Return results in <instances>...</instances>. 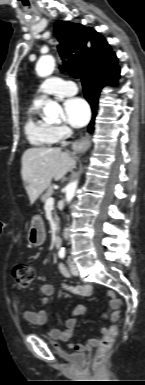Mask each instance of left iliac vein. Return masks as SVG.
Listing matches in <instances>:
<instances>
[{"label": "left iliac vein", "instance_id": "1", "mask_svg": "<svg viewBox=\"0 0 145 385\" xmlns=\"http://www.w3.org/2000/svg\"><path fill=\"white\" fill-rule=\"evenodd\" d=\"M69 263H70V268H71L72 275L78 276L79 275V270H78L77 265L74 262H72L71 259H69Z\"/></svg>", "mask_w": 145, "mask_h": 385}]
</instances>
